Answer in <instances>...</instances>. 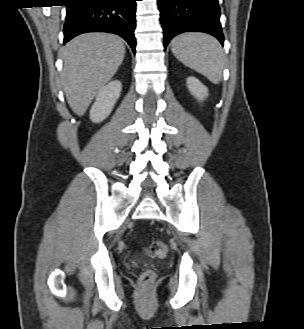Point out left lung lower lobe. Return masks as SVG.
Instances as JSON below:
<instances>
[{
  "label": "left lung lower lobe",
  "mask_w": 304,
  "mask_h": 329,
  "mask_svg": "<svg viewBox=\"0 0 304 329\" xmlns=\"http://www.w3.org/2000/svg\"><path fill=\"white\" fill-rule=\"evenodd\" d=\"M164 31V48L170 40L187 31L205 32L224 45L217 0H158Z\"/></svg>",
  "instance_id": "left-lung-lower-lobe-1"
}]
</instances>
